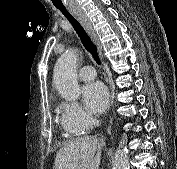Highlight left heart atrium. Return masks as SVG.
I'll use <instances>...</instances> for the list:
<instances>
[{"label": "left heart atrium", "instance_id": "left-heart-atrium-1", "mask_svg": "<svg viewBox=\"0 0 177 169\" xmlns=\"http://www.w3.org/2000/svg\"><path fill=\"white\" fill-rule=\"evenodd\" d=\"M82 97L87 109L94 114H100L108 107L109 92L102 82L86 84L82 88Z\"/></svg>", "mask_w": 177, "mask_h": 169}]
</instances>
